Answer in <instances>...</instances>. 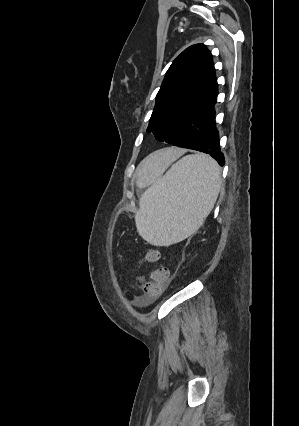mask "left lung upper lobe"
<instances>
[{"instance_id":"obj_1","label":"left lung upper lobe","mask_w":299,"mask_h":426,"mask_svg":"<svg viewBox=\"0 0 299 426\" xmlns=\"http://www.w3.org/2000/svg\"><path fill=\"white\" fill-rule=\"evenodd\" d=\"M212 55L203 44L184 50L169 67L150 118L148 132L171 143L190 118L217 94Z\"/></svg>"}]
</instances>
